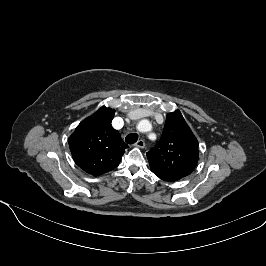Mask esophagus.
Listing matches in <instances>:
<instances>
[{"label": "esophagus", "instance_id": "1", "mask_svg": "<svg viewBox=\"0 0 266 266\" xmlns=\"http://www.w3.org/2000/svg\"><path fill=\"white\" fill-rule=\"evenodd\" d=\"M135 146L138 147V148H144V146H145V142H144V140H142V139L138 140V141L135 143Z\"/></svg>", "mask_w": 266, "mask_h": 266}]
</instances>
